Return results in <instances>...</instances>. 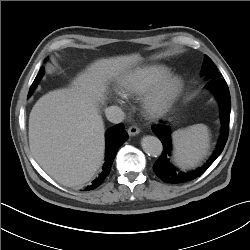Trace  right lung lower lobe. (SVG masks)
<instances>
[{
    "mask_svg": "<svg viewBox=\"0 0 250 250\" xmlns=\"http://www.w3.org/2000/svg\"><path fill=\"white\" fill-rule=\"evenodd\" d=\"M105 138H106V154H105V162L102 167V172L92 182L91 185L85 188V190H93L103 183L106 176L110 173V169L113 160L115 158V155L117 153V150L127 140L128 135L124 130V126L122 124H118L107 130Z\"/></svg>",
    "mask_w": 250,
    "mask_h": 250,
    "instance_id": "right-lung-lower-lobe-1",
    "label": "right lung lower lobe"
}]
</instances>
